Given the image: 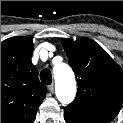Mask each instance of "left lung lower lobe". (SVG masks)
<instances>
[{
	"instance_id": "obj_1",
	"label": "left lung lower lobe",
	"mask_w": 123,
	"mask_h": 123,
	"mask_svg": "<svg viewBox=\"0 0 123 123\" xmlns=\"http://www.w3.org/2000/svg\"><path fill=\"white\" fill-rule=\"evenodd\" d=\"M64 119L67 123H109L111 121L73 107H65Z\"/></svg>"
}]
</instances>
